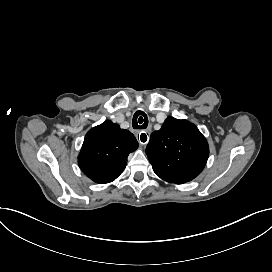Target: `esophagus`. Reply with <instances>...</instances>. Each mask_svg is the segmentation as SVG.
<instances>
[{
    "mask_svg": "<svg viewBox=\"0 0 272 272\" xmlns=\"http://www.w3.org/2000/svg\"><path fill=\"white\" fill-rule=\"evenodd\" d=\"M138 141L141 145H146L148 142V135L145 132H140L138 134Z\"/></svg>",
    "mask_w": 272,
    "mask_h": 272,
    "instance_id": "1",
    "label": "esophagus"
}]
</instances>
